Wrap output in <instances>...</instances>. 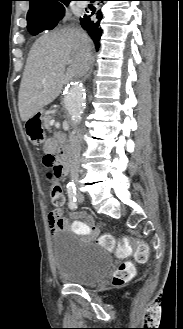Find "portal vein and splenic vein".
Returning <instances> with one entry per match:
<instances>
[{
	"instance_id": "obj_1",
	"label": "portal vein and splenic vein",
	"mask_w": 183,
	"mask_h": 329,
	"mask_svg": "<svg viewBox=\"0 0 183 329\" xmlns=\"http://www.w3.org/2000/svg\"><path fill=\"white\" fill-rule=\"evenodd\" d=\"M54 122H55L54 120H51V121H50V125H53V124H54Z\"/></svg>"
}]
</instances>
